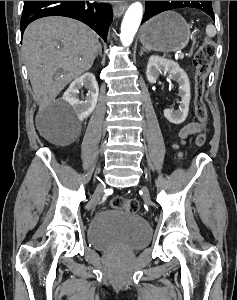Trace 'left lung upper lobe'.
<instances>
[{
	"label": "left lung upper lobe",
	"instance_id": "left-lung-upper-lobe-1",
	"mask_svg": "<svg viewBox=\"0 0 237 300\" xmlns=\"http://www.w3.org/2000/svg\"><path fill=\"white\" fill-rule=\"evenodd\" d=\"M208 1H146L143 21L166 10L191 7L205 11Z\"/></svg>",
	"mask_w": 237,
	"mask_h": 300
}]
</instances>
